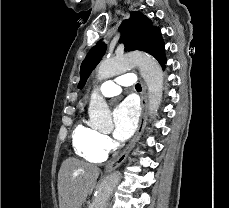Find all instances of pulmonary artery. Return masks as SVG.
I'll use <instances>...</instances> for the list:
<instances>
[{
  "mask_svg": "<svg viewBox=\"0 0 229 208\" xmlns=\"http://www.w3.org/2000/svg\"><path fill=\"white\" fill-rule=\"evenodd\" d=\"M135 77L130 73L120 72L119 77H108L99 89V93L104 97H112L121 93L122 87L133 85Z\"/></svg>",
  "mask_w": 229,
  "mask_h": 208,
  "instance_id": "pulmonary-artery-1",
  "label": "pulmonary artery"
}]
</instances>
